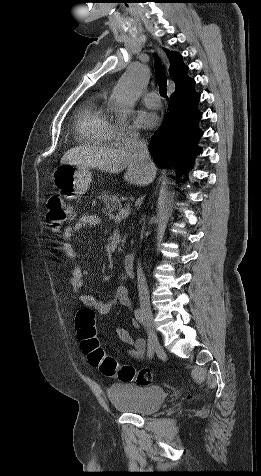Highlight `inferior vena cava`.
Masks as SVG:
<instances>
[{"label":"inferior vena cava","instance_id":"602c4592","mask_svg":"<svg viewBox=\"0 0 261 476\" xmlns=\"http://www.w3.org/2000/svg\"><path fill=\"white\" fill-rule=\"evenodd\" d=\"M124 149L133 154L141 164L148 168H153L154 164L149 156L148 146L145 141L139 139L138 133H131L126 139ZM138 292L140 306L150 310L149 291L146 283V278L141 270L138 272Z\"/></svg>","mask_w":261,"mask_h":476}]
</instances>
